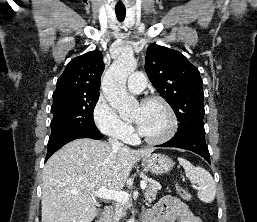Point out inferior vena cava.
Instances as JSON below:
<instances>
[{
  "mask_svg": "<svg viewBox=\"0 0 257 222\" xmlns=\"http://www.w3.org/2000/svg\"><path fill=\"white\" fill-rule=\"evenodd\" d=\"M109 144L112 146L113 150H118L119 148H121L123 146V144L121 142H119L118 139L116 138H109Z\"/></svg>",
  "mask_w": 257,
  "mask_h": 222,
  "instance_id": "inferior-vena-cava-1",
  "label": "inferior vena cava"
}]
</instances>
